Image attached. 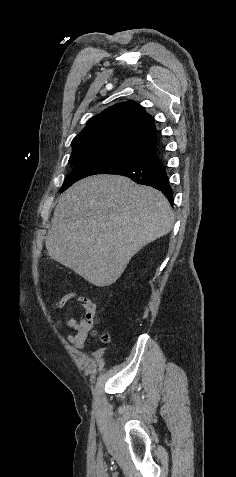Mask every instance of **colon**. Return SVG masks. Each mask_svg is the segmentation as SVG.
Instances as JSON below:
<instances>
[{"instance_id": "5ec220e1", "label": "colon", "mask_w": 236, "mask_h": 477, "mask_svg": "<svg viewBox=\"0 0 236 477\" xmlns=\"http://www.w3.org/2000/svg\"><path fill=\"white\" fill-rule=\"evenodd\" d=\"M94 321H95V318H94V320H93V323H94ZM109 339H110V338H109L108 335H104V336L102 337V340L105 341V342L109 341Z\"/></svg>"}]
</instances>
